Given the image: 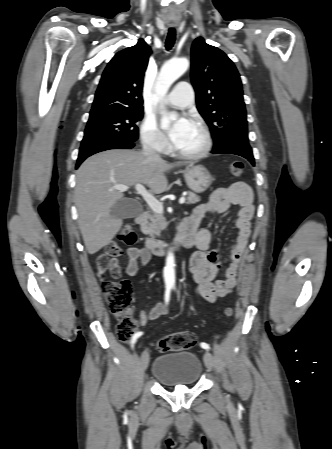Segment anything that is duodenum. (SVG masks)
<instances>
[{"label":"duodenum","instance_id":"410a0bca","mask_svg":"<svg viewBox=\"0 0 332 449\" xmlns=\"http://www.w3.org/2000/svg\"><path fill=\"white\" fill-rule=\"evenodd\" d=\"M147 212H142L136 218L139 225H144L147 221ZM195 228L190 217L185 218L179 226L176 238L173 242L175 248H190L194 245ZM145 247L149 252L157 255H163L166 251L167 243L164 240L156 238H147L145 240Z\"/></svg>","mask_w":332,"mask_h":449}]
</instances>
